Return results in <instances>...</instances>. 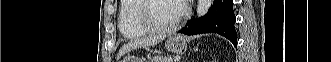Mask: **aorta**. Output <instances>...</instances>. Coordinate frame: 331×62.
<instances>
[{"mask_svg": "<svg viewBox=\"0 0 331 62\" xmlns=\"http://www.w3.org/2000/svg\"><path fill=\"white\" fill-rule=\"evenodd\" d=\"M212 4H213V0H198L197 3L198 17L206 15L209 9L211 8Z\"/></svg>", "mask_w": 331, "mask_h": 62, "instance_id": "obj_1", "label": "aorta"}]
</instances>
